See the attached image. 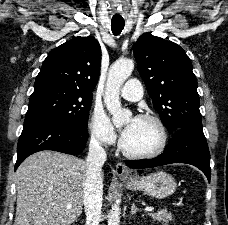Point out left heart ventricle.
I'll use <instances>...</instances> for the list:
<instances>
[{"label":"left heart ventricle","mask_w":228,"mask_h":225,"mask_svg":"<svg viewBox=\"0 0 228 225\" xmlns=\"http://www.w3.org/2000/svg\"><path fill=\"white\" fill-rule=\"evenodd\" d=\"M124 140L132 150L150 152L159 147L161 134L154 123L137 119L132 134Z\"/></svg>","instance_id":"left-heart-ventricle-1"}]
</instances>
